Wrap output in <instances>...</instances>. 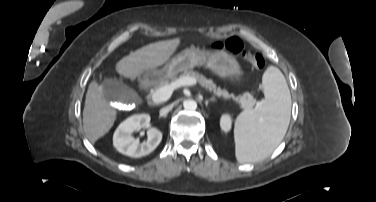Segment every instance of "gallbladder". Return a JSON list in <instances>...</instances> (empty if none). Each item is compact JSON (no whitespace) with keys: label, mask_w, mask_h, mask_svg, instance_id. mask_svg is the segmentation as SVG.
Masks as SVG:
<instances>
[{"label":"gallbladder","mask_w":376,"mask_h":202,"mask_svg":"<svg viewBox=\"0 0 376 202\" xmlns=\"http://www.w3.org/2000/svg\"><path fill=\"white\" fill-rule=\"evenodd\" d=\"M102 88L103 97L114 103H130L137 98V94L133 89L116 79H105L102 82Z\"/></svg>","instance_id":"bac80fb5"}]
</instances>
